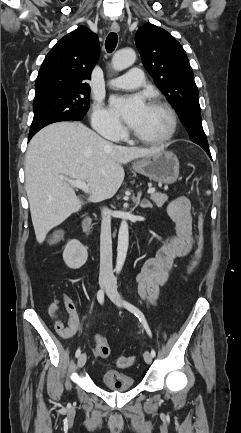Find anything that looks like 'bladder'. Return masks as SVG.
<instances>
[{
  "label": "bladder",
  "instance_id": "1",
  "mask_svg": "<svg viewBox=\"0 0 241 433\" xmlns=\"http://www.w3.org/2000/svg\"><path fill=\"white\" fill-rule=\"evenodd\" d=\"M105 388L111 391H124L134 387V379L123 372L107 371L101 376Z\"/></svg>",
  "mask_w": 241,
  "mask_h": 433
}]
</instances>
